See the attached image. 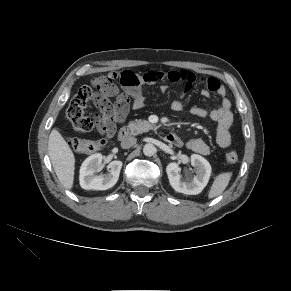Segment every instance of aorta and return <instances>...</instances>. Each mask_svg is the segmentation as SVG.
Returning <instances> with one entry per match:
<instances>
[{
	"label": "aorta",
	"mask_w": 291,
	"mask_h": 291,
	"mask_svg": "<svg viewBox=\"0 0 291 291\" xmlns=\"http://www.w3.org/2000/svg\"><path fill=\"white\" fill-rule=\"evenodd\" d=\"M156 152V147L153 144L147 143L143 147V153L145 156H153Z\"/></svg>",
	"instance_id": "aorta-1"
}]
</instances>
